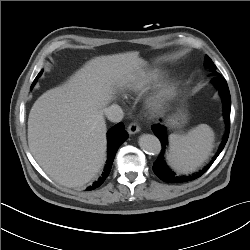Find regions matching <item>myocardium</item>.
I'll list each match as a JSON object with an SVG mask.
<instances>
[{
  "mask_svg": "<svg viewBox=\"0 0 250 250\" xmlns=\"http://www.w3.org/2000/svg\"><path fill=\"white\" fill-rule=\"evenodd\" d=\"M175 92V85L171 82H163L150 100V107L153 111H158L172 98Z\"/></svg>",
  "mask_w": 250,
  "mask_h": 250,
  "instance_id": "1",
  "label": "myocardium"
}]
</instances>
